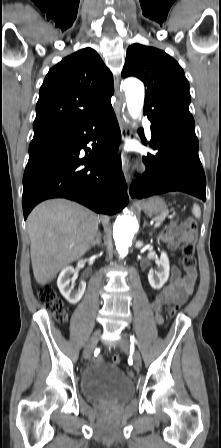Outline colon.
<instances>
[{"label": "colon", "mask_w": 221, "mask_h": 448, "mask_svg": "<svg viewBox=\"0 0 221 448\" xmlns=\"http://www.w3.org/2000/svg\"><path fill=\"white\" fill-rule=\"evenodd\" d=\"M197 230L198 224L194 219L189 218L185 221V235L187 240L183 243L181 251L183 255L182 267L183 271L186 273L193 272L196 269L194 238L197 234ZM38 298L54 314L57 321L64 322L66 320L67 313L64 305L50 285H43L39 289ZM178 308L179 305H174L170 314H175ZM120 361L121 357L119 355L113 356L112 362L114 364H119ZM103 362L104 360L101 357L96 360V363L98 364H102ZM129 374L131 375V373Z\"/></svg>", "instance_id": "obj_1"}]
</instances>
